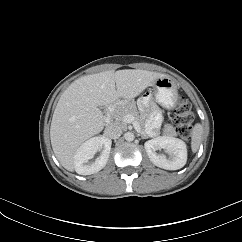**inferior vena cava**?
<instances>
[{
  "label": "inferior vena cava",
  "instance_id": "1",
  "mask_svg": "<svg viewBox=\"0 0 242 242\" xmlns=\"http://www.w3.org/2000/svg\"><path fill=\"white\" fill-rule=\"evenodd\" d=\"M122 127L118 124H111L108 127H106L105 129V136H107V138H111V139H117L121 136L122 134Z\"/></svg>",
  "mask_w": 242,
  "mask_h": 242
}]
</instances>
